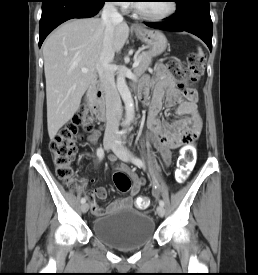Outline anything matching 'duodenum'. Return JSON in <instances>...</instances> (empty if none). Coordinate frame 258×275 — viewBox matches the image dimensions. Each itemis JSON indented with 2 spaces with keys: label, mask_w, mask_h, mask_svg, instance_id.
<instances>
[{
  "label": "duodenum",
  "mask_w": 258,
  "mask_h": 275,
  "mask_svg": "<svg viewBox=\"0 0 258 275\" xmlns=\"http://www.w3.org/2000/svg\"><path fill=\"white\" fill-rule=\"evenodd\" d=\"M102 93L94 80L88 84L85 102L99 121L105 120V107L102 103Z\"/></svg>",
  "instance_id": "1"
}]
</instances>
